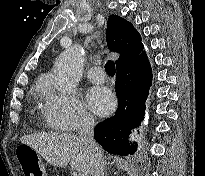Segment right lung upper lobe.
Listing matches in <instances>:
<instances>
[{"label": "right lung upper lobe", "instance_id": "1", "mask_svg": "<svg viewBox=\"0 0 205 176\" xmlns=\"http://www.w3.org/2000/svg\"><path fill=\"white\" fill-rule=\"evenodd\" d=\"M106 37L109 48L120 53L116 61L117 68L144 52L140 34L130 22L117 15L108 18Z\"/></svg>", "mask_w": 205, "mask_h": 176}]
</instances>
